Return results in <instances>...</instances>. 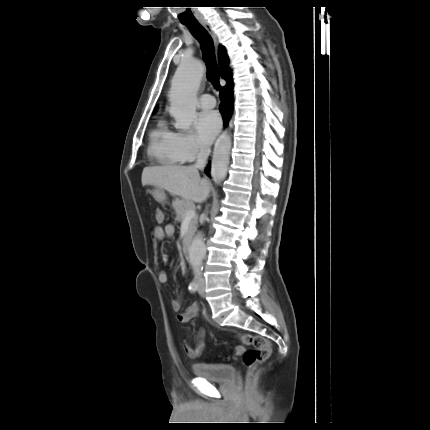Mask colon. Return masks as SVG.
Listing matches in <instances>:
<instances>
[{
    "label": "colon",
    "instance_id": "colon-1",
    "mask_svg": "<svg viewBox=\"0 0 430 430\" xmlns=\"http://www.w3.org/2000/svg\"><path fill=\"white\" fill-rule=\"evenodd\" d=\"M155 220L158 223L163 222L164 214L161 209L155 210ZM239 338L244 345L251 347L247 350H244L241 346L235 348L236 355H243L244 364L248 369L246 380L248 383H251L258 366L265 362L270 356V342L264 337L247 333L240 335Z\"/></svg>",
    "mask_w": 430,
    "mask_h": 430
}]
</instances>
